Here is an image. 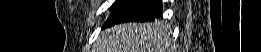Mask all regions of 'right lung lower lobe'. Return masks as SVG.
<instances>
[{
    "label": "right lung lower lobe",
    "mask_w": 261,
    "mask_h": 52,
    "mask_svg": "<svg viewBox=\"0 0 261 52\" xmlns=\"http://www.w3.org/2000/svg\"><path fill=\"white\" fill-rule=\"evenodd\" d=\"M111 9L106 27L128 21H153L162 13L160 0H117Z\"/></svg>",
    "instance_id": "obj_1"
}]
</instances>
